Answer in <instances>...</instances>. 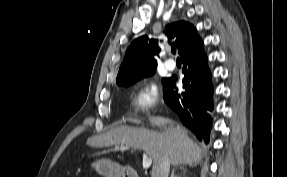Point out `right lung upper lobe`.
<instances>
[{"label":"right lung upper lobe","instance_id":"right-lung-upper-lobe-1","mask_svg":"<svg viewBox=\"0 0 287 177\" xmlns=\"http://www.w3.org/2000/svg\"><path fill=\"white\" fill-rule=\"evenodd\" d=\"M196 33L193 25L185 21L169 24L165 28V38L177 46L180 55ZM159 52L158 40L149 39L146 35L136 38L126 51L116 83L132 81L154 71Z\"/></svg>","mask_w":287,"mask_h":177}]
</instances>
